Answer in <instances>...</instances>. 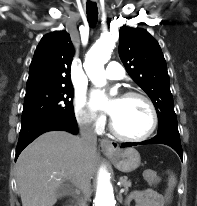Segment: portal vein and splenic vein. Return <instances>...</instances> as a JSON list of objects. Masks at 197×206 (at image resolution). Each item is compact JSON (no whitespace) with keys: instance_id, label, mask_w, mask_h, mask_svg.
<instances>
[{"instance_id":"obj_1","label":"portal vein and splenic vein","mask_w":197,"mask_h":206,"mask_svg":"<svg viewBox=\"0 0 197 206\" xmlns=\"http://www.w3.org/2000/svg\"><path fill=\"white\" fill-rule=\"evenodd\" d=\"M123 192H124V189H121V190H120V193H123Z\"/></svg>"}]
</instances>
